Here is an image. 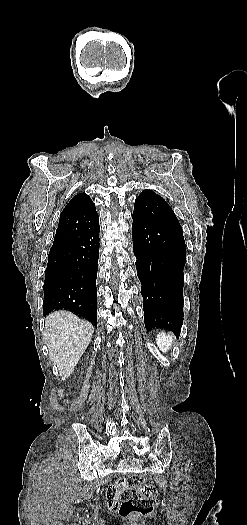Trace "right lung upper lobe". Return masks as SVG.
<instances>
[{
  "mask_svg": "<svg viewBox=\"0 0 247 525\" xmlns=\"http://www.w3.org/2000/svg\"><path fill=\"white\" fill-rule=\"evenodd\" d=\"M99 225L95 204L86 193L74 196L63 209L51 250L86 235Z\"/></svg>",
  "mask_w": 247,
  "mask_h": 525,
  "instance_id": "cb5924a9",
  "label": "right lung upper lobe"
}]
</instances>
